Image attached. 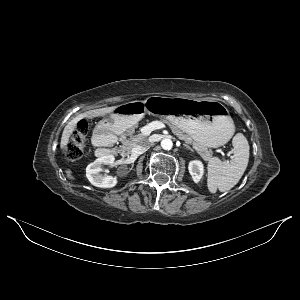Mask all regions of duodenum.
<instances>
[{
	"label": "duodenum",
	"instance_id": "410a0bca",
	"mask_svg": "<svg viewBox=\"0 0 300 300\" xmlns=\"http://www.w3.org/2000/svg\"><path fill=\"white\" fill-rule=\"evenodd\" d=\"M93 143L97 147L99 157H107L116 154L114 148V139L112 135L105 129H99L93 134Z\"/></svg>",
	"mask_w": 300,
	"mask_h": 300
}]
</instances>
